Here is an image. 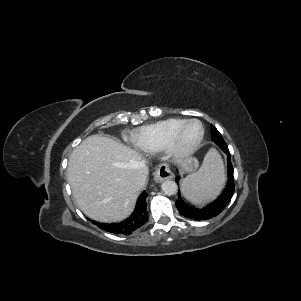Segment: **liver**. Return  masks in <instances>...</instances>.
<instances>
[{
	"instance_id": "liver-1",
	"label": "liver",
	"mask_w": 301,
	"mask_h": 301,
	"mask_svg": "<svg viewBox=\"0 0 301 301\" xmlns=\"http://www.w3.org/2000/svg\"><path fill=\"white\" fill-rule=\"evenodd\" d=\"M143 165L145 159L137 151L113 139L92 135L70 155L67 180L86 216L116 222L134 209L142 188L134 184V178Z\"/></svg>"
}]
</instances>
